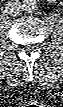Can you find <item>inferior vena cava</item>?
I'll return each instance as SVG.
<instances>
[{
  "mask_svg": "<svg viewBox=\"0 0 63 107\" xmlns=\"http://www.w3.org/2000/svg\"><path fill=\"white\" fill-rule=\"evenodd\" d=\"M22 11V5L18 0L9 1L6 4L5 12L10 16H17Z\"/></svg>",
  "mask_w": 63,
  "mask_h": 107,
  "instance_id": "inferior-vena-cava-1",
  "label": "inferior vena cava"
}]
</instances>
